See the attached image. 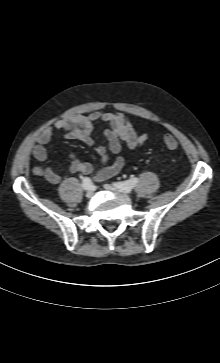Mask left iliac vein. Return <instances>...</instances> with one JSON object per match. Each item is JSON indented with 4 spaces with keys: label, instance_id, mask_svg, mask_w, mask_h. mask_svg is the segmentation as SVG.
<instances>
[{
    "label": "left iliac vein",
    "instance_id": "1",
    "mask_svg": "<svg viewBox=\"0 0 220 363\" xmlns=\"http://www.w3.org/2000/svg\"><path fill=\"white\" fill-rule=\"evenodd\" d=\"M104 188L105 189H108V190H114V191H118V192H121V193H124V194H127L128 192L124 191V190H121L119 188H116V187H112L110 185H104Z\"/></svg>",
    "mask_w": 220,
    "mask_h": 363
}]
</instances>
